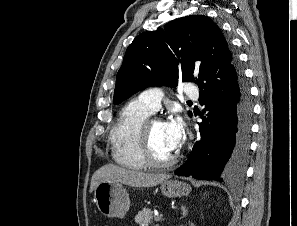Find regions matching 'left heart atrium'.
Masks as SVG:
<instances>
[{
	"instance_id": "39dd6f15",
	"label": "left heart atrium",
	"mask_w": 297,
	"mask_h": 226,
	"mask_svg": "<svg viewBox=\"0 0 297 226\" xmlns=\"http://www.w3.org/2000/svg\"><path fill=\"white\" fill-rule=\"evenodd\" d=\"M164 124L169 145L174 150L178 149L184 139V126L182 121L176 117Z\"/></svg>"
}]
</instances>
